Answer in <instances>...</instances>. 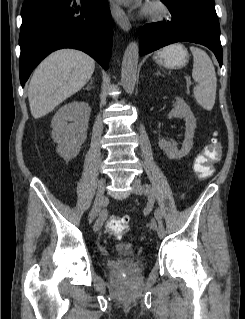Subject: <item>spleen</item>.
Returning <instances> with one entry per match:
<instances>
[{
  "label": "spleen",
  "instance_id": "obj_1",
  "mask_svg": "<svg viewBox=\"0 0 245 319\" xmlns=\"http://www.w3.org/2000/svg\"><path fill=\"white\" fill-rule=\"evenodd\" d=\"M193 54L192 77L197 83L193 94L205 110L211 111L215 104L217 78L214 65L209 55L198 47H190Z\"/></svg>",
  "mask_w": 245,
  "mask_h": 319
}]
</instances>
